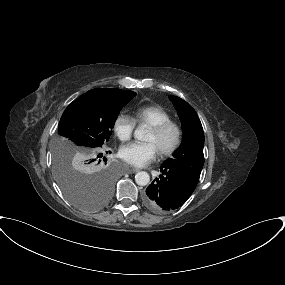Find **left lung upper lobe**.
<instances>
[{
  "instance_id": "left-lung-upper-lobe-1",
  "label": "left lung upper lobe",
  "mask_w": 285,
  "mask_h": 285,
  "mask_svg": "<svg viewBox=\"0 0 285 285\" xmlns=\"http://www.w3.org/2000/svg\"><path fill=\"white\" fill-rule=\"evenodd\" d=\"M181 121L183 140L173 157L163 166L171 167L199 180L204 165V132L201 122L191 105L183 99L169 95Z\"/></svg>"
}]
</instances>
